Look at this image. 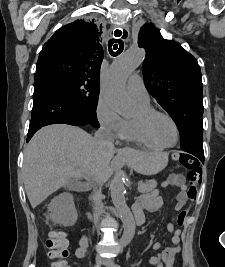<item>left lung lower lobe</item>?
<instances>
[{
	"mask_svg": "<svg viewBox=\"0 0 225 267\" xmlns=\"http://www.w3.org/2000/svg\"><path fill=\"white\" fill-rule=\"evenodd\" d=\"M184 151L194 155L200 162L204 163V151L201 148L184 149Z\"/></svg>",
	"mask_w": 225,
	"mask_h": 267,
	"instance_id": "left-lung-lower-lobe-1",
	"label": "left lung lower lobe"
}]
</instances>
